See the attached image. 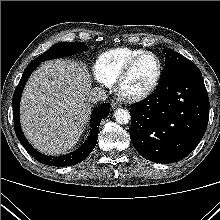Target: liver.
Instances as JSON below:
<instances>
[{
    "label": "liver",
    "mask_w": 220,
    "mask_h": 220,
    "mask_svg": "<svg viewBox=\"0 0 220 220\" xmlns=\"http://www.w3.org/2000/svg\"><path fill=\"white\" fill-rule=\"evenodd\" d=\"M91 78L85 66L62 59L43 63L21 98L20 122L41 153L60 155L78 142L91 113Z\"/></svg>",
    "instance_id": "liver-1"
}]
</instances>
